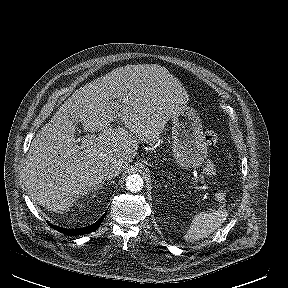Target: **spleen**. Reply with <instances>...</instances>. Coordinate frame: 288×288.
I'll return each instance as SVG.
<instances>
[{"label": "spleen", "instance_id": "obj_1", "mask_svg": "<svg viewBox=\"0 0 288 288\" xmlns=\"http://www.w3.org/2000/svg\"><path fill=\"white\" fill-rule=\"evenodd\" d=\"M226 217L227 212L225 210H217L211 213H197L184 235L185 241L194 242L208 237L222 225Z\"/></svg>", "mask_w": 288, "mask_h": 288}]
</instances>
